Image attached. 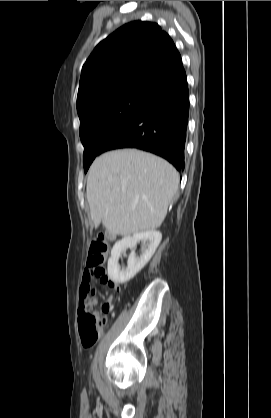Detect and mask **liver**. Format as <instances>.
<instances>
[{
	"label": "liver",
	"mask_w": 271,
	"mask_h": 418,
	"mask_svg": "<svg viewBox=\"0 0 271 418\" xmlns=\"http://www.w3.org/2000/svg\"><path fill=\"white\" fill-rule=\"evenodd\" d=\"M179 185L166 160L136 149L114 150L89 168L87 200L95 227L114 235L155 230L164 221Z\"/></svg>",
	"instance_id": "obj_1"
}]
</instances>
